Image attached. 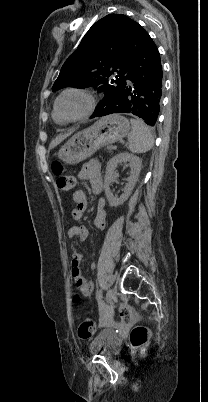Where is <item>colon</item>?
<instances>
[{
  "label": "colon",
  "instance_id": "1",
  "mask_svg": "<svg viewBox=\"0 0 208 402\" xmlns=\"http://www.w3.org/2000/svg\"><path fill=\"white\" fill-rule=\"evenodd\" d=\"M55 177V186L62 193H71L74 189L76 179L73 175L64 173V165L56 161L51 165ZM80 296H75L74 302L79 303ZM119 314L122 319L123 327H132L133 319L131 304L129 301H122L120 304ZM78 335L81 339H89L95 330V321L90 318L79 319L77 325ZM149 327L147 324H136L134 329H131L130 335L136 345L143 344L149 336Z\"/></svg>",
  "mask_w": 208,
  "mask_h": 402
}]
</instances>
